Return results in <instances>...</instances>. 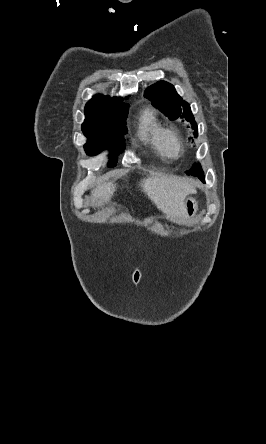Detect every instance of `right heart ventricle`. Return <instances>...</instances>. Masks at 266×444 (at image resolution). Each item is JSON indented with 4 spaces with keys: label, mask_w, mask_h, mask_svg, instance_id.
Masks as SVG:
<instances>
[{
    "label": "right heart ventricle",
    "mask_w": 266,
    "mask_h": 444,
    "mask_svg": "<svg viewBox=\"0 0 266 444\" xmlns=\"http://www.w3.org/2000/svg\"><path fill=\"white\" fill-rule=\"evenodd\" d=\"M164 129L156 113L144 109L138 119L137 134L139 139L160 155H166L161 144V132Z\"/></svg>",
    "instance_id": "right-heart-ventricle-1"
}]
</instances>
